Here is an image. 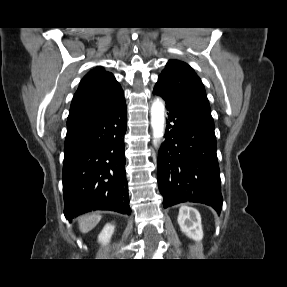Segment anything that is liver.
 I'll return each mask as SVG.
<instances>
[{
	"mask_svg": "<svg viewBox=\"0 0 287 287\" xmlns=\"http://www.w3.org/2000/svg\"><path fill=\"white\" fill-rule=\"evenodd\" d=\"M79 229L82 233L91 231L101 220V215L92 213L79 217Z\"/></svg>",
	"mask_w": 287,
	"mask_h": 287,
	"instance_id": "obj_1",
	"label": "liver"
}]
</instances>
